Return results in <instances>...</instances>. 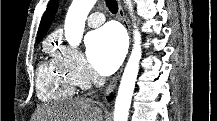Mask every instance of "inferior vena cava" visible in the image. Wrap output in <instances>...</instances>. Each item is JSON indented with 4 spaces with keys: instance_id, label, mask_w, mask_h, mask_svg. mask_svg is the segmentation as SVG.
I'll return each mask as SVG.
<instances>
[{
    "instance_id": "obj_1",
    "label": "inferior vena cava",
    "mask_w": 217,
    "mask_h": 121,
    "mask_svg": "<svg viewBox=\"0 0 217 121\" xmlns=\"http://www.w3.org/2000/svg\"><path fill=\"white\" fill-rule=\"evenodd\" d=\"M104 79H98V80H96V85H103L104 84Z\"/></svg>"
}]
</instances>
